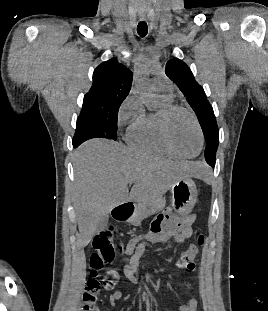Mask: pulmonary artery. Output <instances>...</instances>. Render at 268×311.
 I'll list each match as a JSON object with an SVG mask.
<instances>
[{
  "mask_svg": "<svg viewBox=\"0 0 268 311\" xmlns=\"http://www.w3.org/2000/svg\"><path fill=\"white\" fill-rule=\"evenodd\" d=\"M153 87L164 96L172 97V85L167 77L161 76L153 80Z\"/></svg>",
  "mask_w": 268,
  "mask_h": 311,
  "instance_id": "obj_1",
  "label": "pulmonary artery"
}]
</instances>
